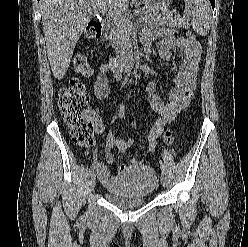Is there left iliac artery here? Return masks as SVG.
Returning a JSON list of instances; mask_svg holds the SVG:
<instances>
[{"label": "left iliac artery", "instance_id": "left-iliac-artery-1", "mask_svg": "<svg viewBox=\"0 0 248 247\" xmlns=\"http://www.w3.org/2000/svg\"><path fill=\"white\" fill-rule=\"evenodd\" d=\"M160 166H161L162 172H166L165 166L161 160H160Z\"/></svg>", "mask_w": 248, "mask_h": 247}]
</instances>
